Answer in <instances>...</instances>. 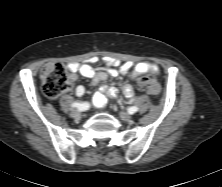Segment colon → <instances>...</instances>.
I'll return each instance as SVG.
<instances>
[{
  "label": "colon",
  "mask_w": 222,
  "mask_h": 187,
  "mask_svg": "<svg viewBox=\"0 0 222 187\" xmlns=\"http://www.w3.org/2000/svg\"><path fill=\"white\" fill-rule=\"evenodd\" d=\"M71 74L60 63L47 64L41 73L44 94L51 99L57 98L62 93L70 90ZM139 87L151 94L159 91V85L151 75H144L138 79Z\"/></svg>",
  "instance_id": "colon-1"
}]
</instances>
